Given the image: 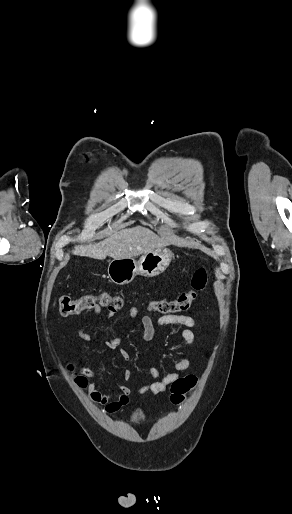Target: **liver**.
Here are the masks:
<instances>
[{
  "label": "liver",
  "instance_id": "liver-1",
  "mask_svg": "<svg viewBox=\"0 0 292 514\" xmlns=\"http://www.w3.org/2000/svg\"><path fill=\"white\" fill-rule=\"evenodd\" d=\"M167 244L168 240L158 238L148 228L137 226V228L115 232V234H112L103 242H98V244L75 246L73 254L74 256L95 258V260H105L106 256L120 260V258H134V256L151 252V250L164 248Z\"/></svg>",
  "mask_w": 292,
  "mask_h": 514
}]
</instances>
